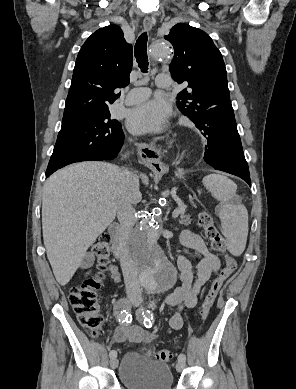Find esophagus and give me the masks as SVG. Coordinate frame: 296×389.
<instances>
[{"instance_id": "34e87169", "label": "esophagus", "mask_w": 296, "mask_h": 389, "mask_svg": "<svg viewBox=\"0 0 296 389\" xmlns=\"http://www.w3.org/2000/svg\"><path fill=\"white\" fill-rule=\"evenodd\" d=\"M143 26L146 30H150L153 26V21L150 18H145ZM142 153L144 154V166L147 169H162L163 172L168 170V166L163 163L160 150L153 145L141 144Z\"/></svg>"}]
</instances>
